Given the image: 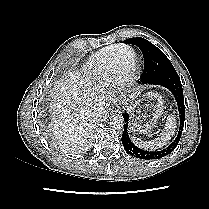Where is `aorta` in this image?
I'll list each match as a JSON object with an SVG mask.
<instances>
[{"mask_svg":"<svg viewBox=\"0 0 209 209\" xmlns=\"http://www.w3.org/2000/svg\"><path fill=\"white\" fill-rule=\"evenodd\" d=\"M108 123L114 129H121L124 126V118L119 114L111 115Z\"/></svg>","mask_w":209,"mask_h":209,"instance_id":"aorta-1","label":"aorta"}]
</instances>
